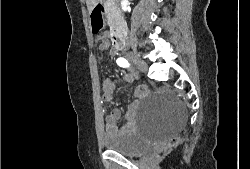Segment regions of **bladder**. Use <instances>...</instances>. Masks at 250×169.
<instances>
[{"mask_svg":"<svg viewBox=\"0 0 250 169\" xmlns=\"http://www.w3.org/2000/svg\"><path fill=\"white\" fill-rule=\"evenodd\" d=\"M103 145L107 151H116L123 156H132L136 153L149 150L148 139L141 133H110L102 136Z\"/></svg>","mask_w":250,"mask_h":169,"instance_id":"bladder-1","label":"bladder"}]
</instances>
